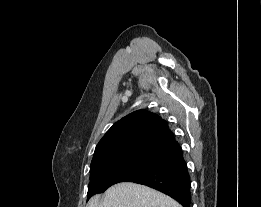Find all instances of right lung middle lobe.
Returning <instances> with one entry per match:
<instances>
[{"instance_id": "obj_1", "label": "right lung middle lobe", "mask_w": 261, "mask_h": 207, "mask_svg": "<svg viewBox=\"0 0 261 207\" xmlns=\"http://www.w3.org/2000/svg\"><path fill=\"white\" fill-rule=\"evenodd\" d=\"M158 161L143 157H128L90 166V183L87 198L104 192L110 186L125 181L157 164Z\"/></svg>"}]
</instances>
